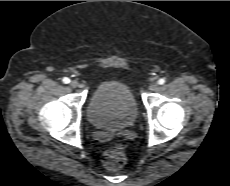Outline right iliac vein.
Masks as SVG:
<instances>
[{"mask_svg":"<svg viewBox=\"0 0 230 186\" xmlns=\"http://www.w3.org/2000/svg\"><path fill=\"white\" fill-rule=\"evenodd\" d=\"M70 86L73 88H77V87H79V83L77 81L73 80L70 82Z\"/></svg>","mask_w":230,"mask_h":186,"instance_id":"right-iliac-vein-1","label":"right iliac vein"}]
</instances>
